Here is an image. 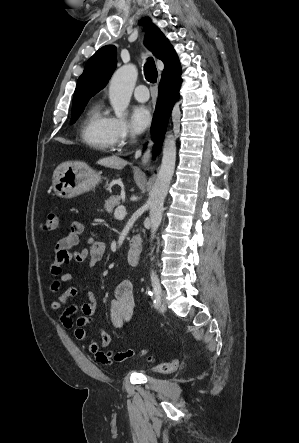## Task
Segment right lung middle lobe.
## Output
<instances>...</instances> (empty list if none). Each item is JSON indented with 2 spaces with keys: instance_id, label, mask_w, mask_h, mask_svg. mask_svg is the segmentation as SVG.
Returning <instances> with one entry per match:
<instances>
[{
  "instance_id": "1",
  "label": "right lung middle lobe",
  "mask_w": 299,
  "mask_h": 443,
  "mask_svg": "<svg viewBox=\"0 0 299 443\" xmlns=\"http://www.w3.org/2000/svg\"><path fill=\"white\" fill-rule=\"evenodd\" d=\"M87 104V102H84L82 104L76 105L72 107V123H74L76 121V119L78 118L79 114L82 112L83 108L85 107V105Z\"/></svg>"
}]
</instances>
